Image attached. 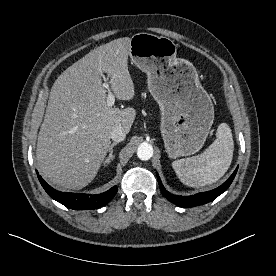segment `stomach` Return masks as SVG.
<instances>
[{"label":"stomach","instance_id":"stomach-1","mask_svg":"<svg viewBox=\"0 0 276 276\" xmlns=\"http://www.w3.org/2000/svg\"><path fill=\"white\" fill-rule=\"evenodd\" d=\"M129 56L147 74L148 89L159 104L168 156L178 158L198 152L213 124L214 106L194 65L177 58L172 40L149 33L132 36Z\"/></svg>","mask_w":276,"mask_h":276}]
</instances>
